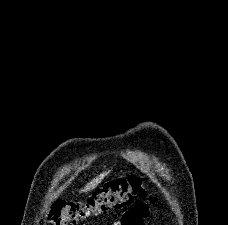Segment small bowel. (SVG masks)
Returning a JSON list of instances; mask_svg holds the SVG:
<instances>
[{"label": "small bowel", "instance_id": "c3829d8e", "mask_svg": "<svg viewBox=\"0 0 228 225\" xmlns=\"http://www.w3.org/2000/svg\"><path fill=\"white\" fill-rule=\"evenodd\" d=\"M147 209L148 204H135V207L126 210L123 213L121 221L115 222L114 225H142L141 218H147V213L135 212H147Z\"/></svg>", "mask_w": 228, "mask_h": 225}]
</instances>
